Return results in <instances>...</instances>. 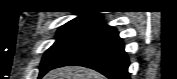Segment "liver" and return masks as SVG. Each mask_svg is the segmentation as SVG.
Listing matches in <instances>:
<instances>
[{
  "mask_svg": "<svg viewBox=\"0 0 177 79\" xmlns=\"http://www.w3.org/2000/svg\"><path fill=\"white\" fill-rule=\"evenodd\" d=\"M44 79H104L98 72L78 66H67L52 70Z\"/></svg>",
  "mask_w": 177,
  "mask_h": 79,
  "instance_id": "6515ba94",
  "label": "liver"
}]
</instances>
